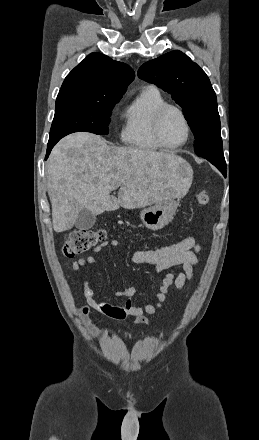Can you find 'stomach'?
<instances>
[{
    "instance_id": "1",
    "label": "stomach",
    "mask_w": 259,
    "mask_h": 440,
    "mask_svg": "<svg viewBox=\"0 0 259 440\" xmlns=\"http://www.w3.org/2000/svg\"><path fill=\"white\" fill-rule=\"evenodd\" d=\"M178 203L174 199L164 200L140 212L143 225L153 231L160 230L173 219Z\"/></svg>"
}]
</instances>
